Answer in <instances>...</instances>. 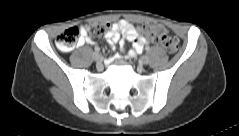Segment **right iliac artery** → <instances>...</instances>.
Returning <instances> with one entry per match:
<instances>
[{
	"label": "right iliac artery",
	"instance_id": "obj_1",
	"mask_svg": "<svg viewBox=\"0 0 239 136\" xmlns=\"http://www.w3.org/2000/svg\"><path fill=\"white\" fill-rule=\"evenodd\" d=\"M94 50H95L96 52H99V51H100V48H99V47H95Z\"/></svg>",
	"mask_w": 239,
	"mask_h": 136
}]
</instances>
